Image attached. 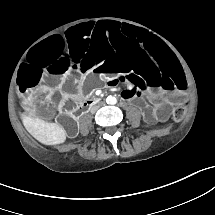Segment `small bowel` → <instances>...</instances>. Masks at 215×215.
Segmentation results:
<instances>
[{"label": "small bowel", "mask_w": 215, "mask_h": 215, "mask_svg": "<svg viewBox=\"0 0 215 215\" xmlns=\"http://www.w3.org/2000/svg\"><path fill=\"white\" fill-rule=\"evenodd\" d=\"M121 96L123 99H132L135 96V93H122Z\"/></svg>", "instance_id": "obj_1"}]
</instances>
